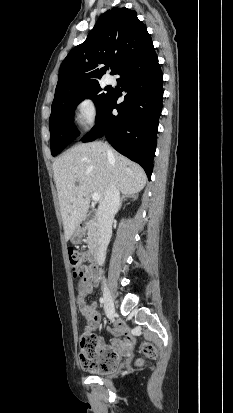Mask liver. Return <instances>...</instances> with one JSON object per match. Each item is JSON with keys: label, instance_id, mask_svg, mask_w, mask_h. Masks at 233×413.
<instances>
[{"label": "liver", "instance_id": "obj_1", "mask_svg": "<svg viewBox=\"0 0 233 413\" xmlns=\"http://www.w3.org/2000/svg\"><path fill=\"white\" fill-rule=\"evenodd\" d=\"M103 142H90L73 146L53 163L65 240L85 219L91 193L100 195L103 201L111 183L123 194L140 192L147 181L144 170L135 162L112 151Z\"/></svg>", "mask_w": 233, "mask_h": 413}]
</instances>
